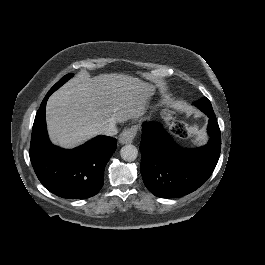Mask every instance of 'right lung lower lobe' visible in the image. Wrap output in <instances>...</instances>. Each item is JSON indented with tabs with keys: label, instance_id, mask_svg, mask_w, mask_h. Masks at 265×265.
Masks as SVG:
<instances>
[{
	"label": "right lung lower lobe",
	"instance_id": "98d812e1",
	"mask_svg": "<svg viewBox=\"0 0 265 265\" xmlns=\"http://www.w3.org/2000/svg\"><path fill=\"white\" fill-rule=\"evenodd\" d=\"M48 92L36 113L32 128L30 160L42 185L67 199H86L96 195L104 182V169L116 150V139L98 136L71 150L49 141L45 108Z\"/></svg>",
	"mask_w": 265,
	"mask_h": 265
}]
</instances>
